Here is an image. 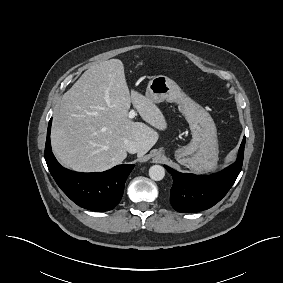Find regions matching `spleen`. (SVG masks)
Returning a JSON list of instances; mask_svg holds the SVG:
<instances>
[{
  "label": "spleen",
  "instance_id": "3e777b00",
  "mask_svg": "<svg viewBox=\"0 0 283 283\" xmlns=\"http://www.w3.org/2000/svg\"><path fill=\"white\" fill-rule=\"evenodd\" d=\"M215 166H216V164L209 166V168L206 171H204V172L212 170Z\"/></svg>",
  "mask_w": 283,
  "mask_h": 283
}]
</instances>
